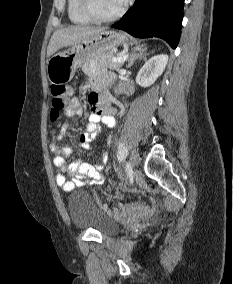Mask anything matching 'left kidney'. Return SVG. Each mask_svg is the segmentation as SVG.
Returning a JSON list of instances; mask_svg holds the SVG:
<instances>
[{"label":"left kidney","instance_id":"5707ae66","mask_svg":"<svg viewBox=\"0 0 233 284\" xmlns=\"http://www.w3.org/2000/svg\"><path fill=\"white\" fill-rule=\"evenodd\" d=\"M168 62V55L160 54L151 57L139 70L136 82L142 87H148L163 73Z\"/></svg>","mask_w":233,"mask_h":284}]
</instances>
